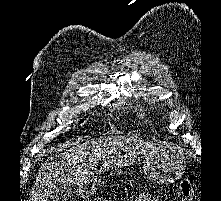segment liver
Instances as JSON below:
<instances>
[{
    "instance_id": "6515ba94",
    "label": "liver",
    "mask_w": 221,
    "mask_h": 201,
    "mask_svg": "<svg viewBox=\"0 0 221 201\" xmlns=\"http://www.w3.org/2000/svg\"><path fill=\"white\" fill-rule=\"evenodd\" d=\"M82 141L71 142V147L42 164L30 201H48L53 190L60 185L82 186L95 180L102 171L125 167L166 148L123 135ZM100 161L102 166L97 169Z\"/></svg>"
}]
</instances>
